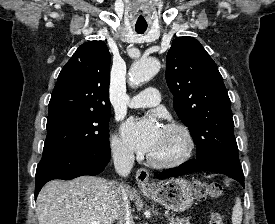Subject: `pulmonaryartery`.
I'll return each instance as SVG.
<instances>
[{"mask_svg": "<svg viewBox=\"0 0 275 224\" xmlns=\"http://www.w3.org/2000/svg\"><path fill=\"white\" fill-rule=\"evenodd\" d=\"M160 92L158 89L149 87L138 95L132 97L129 101V107L131 108H146L153 107L159 103Z\"/></svg>", "mask_w": 275, "mask_h": 224, "instance_id": "e3ab8cb5", "label": "pulmonary artery"}]
</instances>
